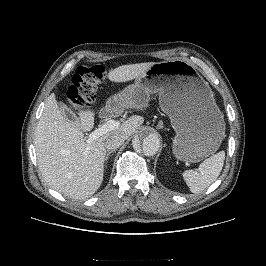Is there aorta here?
I'll return each instance as SVG.
<instances>
[{
    "label": "aorta",
    "instance_id": "762f6f07",
    "mask_svg": "<svg viewBox=\"0 0 266 266\" xmlns=\"http://www.w3.org/2000/svg\"><path fill=\"white\" fill-rule=\"evenodd\" d=\"M133 147L135 149L141 147L144 155L153 156L160 148V139L156 133L145 129L139 133L137 139L133 143Z\"/></svg>",
    "mask_w": 266,
    "mask_h": 266
}]
</instances>
